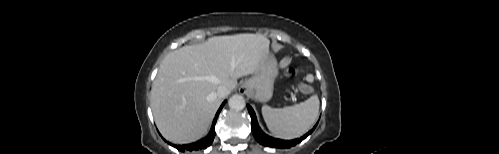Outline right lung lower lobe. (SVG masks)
Wrapping results in <instances>:
<instances>
[{
	"label": "right lung lower lobe",
	"instance_id": "obj_1",
	"mask_svg": "<svg viewBox=\"0 0 499 154\" xmlns=\"http://www.w3.org/2000/svg\"><path fill=\"white\" fill-rule=\"evenodd\" d=\"M225 102L226 101H224L222 103L221 107L219 108V110L216 114V117L214 118L210 133L207 137H205V138L201 139L200 141L193 143V144H187V145H183V146H180V145H173V146L175 148H177L179 151H186V150L192 151V150L199 149V148L205 149L207 146H210L214 140V137H215V123H216L217 117H218L221 109L223 108Z\"/></svg>",
	"mask_w": 499,
	"mask_h": 154
}]
</instances>
